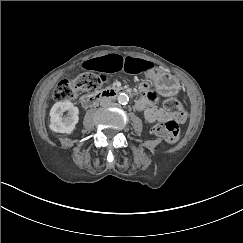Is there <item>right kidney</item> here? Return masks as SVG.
I'll return each instance as SVG.
<instances>
[{"instance_id": "1", "label": "right kidney", "mask_w": 243, "mask_h": 243, "mask_svg": "<svg viewBox=\"0 0 243 243\" xmlns=\"http://www.w3.org/2000/svg\"><path fill=\"white\" fill-rule=\"evenodd\" d=\"M67 112L66 115H63ZM79 109L72 102H56L50 110V129L59 133H71L78 123Z\"/></svg>"}]
</instances>
